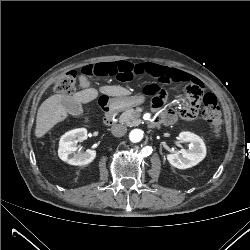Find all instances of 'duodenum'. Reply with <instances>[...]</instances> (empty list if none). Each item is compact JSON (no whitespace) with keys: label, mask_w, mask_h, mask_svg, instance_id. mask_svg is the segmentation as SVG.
I'll list each match as a JSON object with an SVG mask.
<instances>
[{"label":"duodenum","mask_w":250,"mask_h":250,"mask_svg":"<svg viewBox=\"0 0 250 250\" xmlns=\"http://www.w3.org/2000/svg\"><path fill=\"white\" fill-rule=\"evenodd\" d=\"M100 104H101V108L104 114V123L107 125L114 124L115 109L107 101H102ZM160 123H161V120L157 116L152 117L148 121V125L152 128L157 127Z\"/></svg>","instance_id":"410a0bca"}]
</instances>
